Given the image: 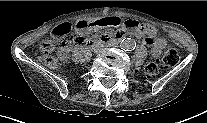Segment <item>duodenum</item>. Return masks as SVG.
I'll use <instances>...</instances> for the list:
<instances>
[{
    "label": "duodenum",
    "mask_w": 207,
    "mask_h": 123,
    "mask_svg": "<svg viewBox=\"0 0 207 123\" xmlns=\"http://www.w3.org/2000/svg\"><path fill=\"white\" fill-rule=\"evenodd\" d=\"M124 36H118V37H107V36H103L101 38V40H96V39H89L84 43V46L86 48H93L94 46L98 45V44H115L118 43Z\"/></svg>",
    "instance_id": "duodenum-1"
}]
</instances>
